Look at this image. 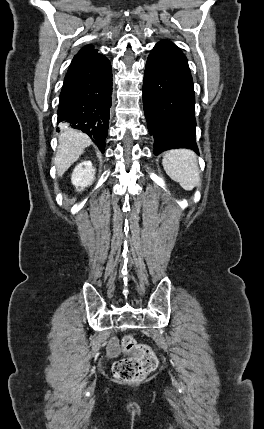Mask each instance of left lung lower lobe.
<instances>
[{"mask_svg":"<svg viewBox=\"0 0 264 429\" xmlns=\"http://www.w3.org/2000/svg\"><path fill=\"white\" fill-rule=\"evenodd\" d=\"M143 105L155 155L172 148L198 153L192 76L187 58L170 41L158 42L148 56Z\"/></svg>","mask_w":264,"mask_h":429,"instance_id":"obj_1","label":"left lung lower lobe"}]
</instances>
